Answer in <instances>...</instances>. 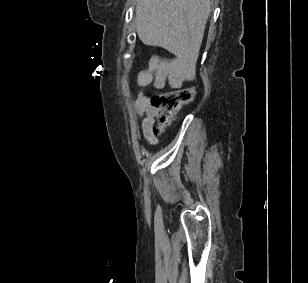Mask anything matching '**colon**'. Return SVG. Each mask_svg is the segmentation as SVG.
Returning a JSON list of instances; mask_svg holds the SVG:
<instances>
[{
  "label": "colon",
  "mask_w": 308,
  "mask_h": 283,
  "mask_svg": "<svg viewBox=\"0 0 308 283\" xmlns=\"http://www.w3.org/2000/svg\"><path fill=\"white\" fill-rule=\"evenodd\" d=\"M195 95L194 87L155 94L148 98L150 106L157 110V123L153 127L155 134H161L169 125L181 106L191 102Z\"/></svg>",
  "instance_id": "1"
}]
</instances>
